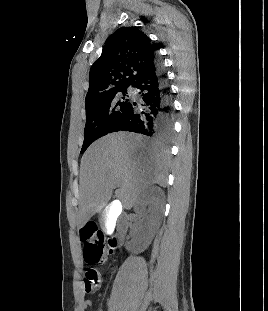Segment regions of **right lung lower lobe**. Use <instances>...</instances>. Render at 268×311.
I'll list each match as a JSON object with an SVG mask.
<instances>
[{
    "mask_svg": "<svg viewBox=\"0 0 268 311\" xmlns=\"http://www.w3.org/2000/svg\"><path fill=\"white\" fill-rule=\"evenodd\" d=\"M131 86L136 89L138 98L129 101L110 133L130 131L163 140L170 139L174 129V110L158 56Z\"/></svg>",
    "mask_w": 268,
    "mask_h": 311,
    "instance_id": "obj_1",
    "label": "right lung lower lobe"
}]
</instances>
